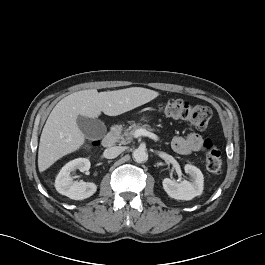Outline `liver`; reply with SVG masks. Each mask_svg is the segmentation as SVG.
Segmentation results:
<instances>
[{
    "mask_svg": "<svg viewBox=\"0 0 265 265\" xmlns=\"http://www.w3.org/2000/svg\"><path fill=\"white\" fill-rule=\"evenodd\" d=\"M158 95L150 89L131 87L100 93L96 89L82 90L64 97L44 125L38 150L39 171H45L63 156L83 146L85 136L78 127V116L97 118L101 112L108 116L120 115Z\"/></svg>",
    "mask_w": 265,
    "mask_h": 265,
    "instance_id": "6515ba94",
    "label": "liver"
}]
</instances>
